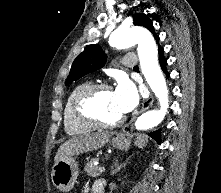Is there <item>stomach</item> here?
I'll return each instance as SVG.
<instances>
[{
  "label": "stomach",
  "instance_id": "0dacf381",
  "mask_svg": "<svg viewBox=\"0 0 221 193\" xmlns=\"http://www.w3.org/2000/svg\"><path fill=\"white\" fill-rule=\"evenodd\" d=\"M147 143V136L137 134L134 144L140 148ZM110 144L119 150H126L130 147L131 141L123 134L112 138ZM78 164L73 157L65 158L54 164L51 172L53 185L62 192L70 191L78 177Z\"/></svg>",
  "mask_w": 221,
  "mask_h": 193
}]
</instances>
